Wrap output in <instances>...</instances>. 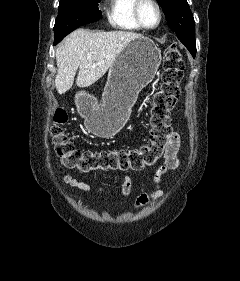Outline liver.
I'll return each instance as SVG.
<instances>
[{
  "mask_svg": "<svg viewBox=\"0 0 240 281\" xmlns=\"http://www.w3.org/2000/svg\"><path fill=\"white\" fill-rule=\"evenodd\" d=\"M141 36L129 31L91 32L77 29L72 32L56 48L58 70L55 86L58 93L64 94L72 87L78 68V87H88L97 82L128 43Z\"/></svg>",
  "mask_w": 240,
  "mask_h": 281,
  "instance_id": "obj_1",
  "label": "liver"
}]
</instances>
